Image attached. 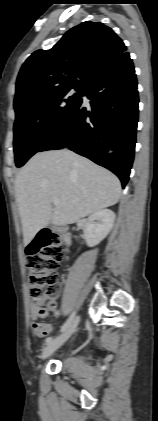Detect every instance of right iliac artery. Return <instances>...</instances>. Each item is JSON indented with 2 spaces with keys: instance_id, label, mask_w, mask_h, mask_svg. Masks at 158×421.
<instances>
[{
  "instance_id": "82829eb1",
  "label": "right iliac artery",
  "mask_w": 158,
  "mask_h": 421,
  "mask_svg": "<svg viewBox=\"0 0 158 421\" xmlns=\"http://www.w3.org/2000/svg\"><path fill=\"white\" fill-rule=\"evenodd\" d=\"M75 314H76V312L74 311V312H72V314L69 316V318L67 319V321L63 324V326L61 327V332H64L66 329H67V327L70 325V323L72 322V320L74 319V317H75ZM52 337H48L46 340H45V342L46 343H49L50 341H52Z\"/></svg>"
}]
</instances>
